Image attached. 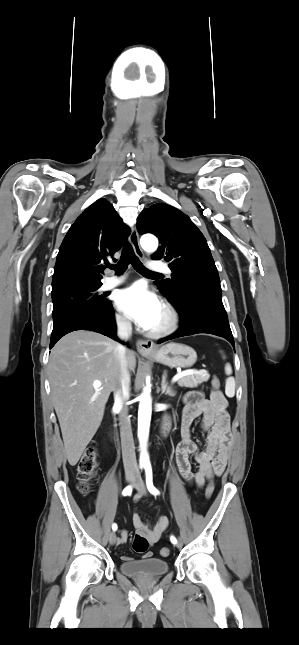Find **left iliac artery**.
<instances>
[{
    "mask_svg": "<svg viewBox=\"0 0 299 645\" xmlns=\"http://www.w3.org/2000/svg\"><path fill=\"white\" fill-rule=\"evenodd\" d=\"M145 472H146V485L149 492L153 495L159 494V491L153 485L152 468L149 464L145 465ZM170 541L173 544L177 543V539L174 536L170 537Z\"/></svg>",
    "mask_w": 299,
    "mask_h": 645,
    "instance_id": "obj_1",
    "label": "left iliac artery"
}]
</instances>
